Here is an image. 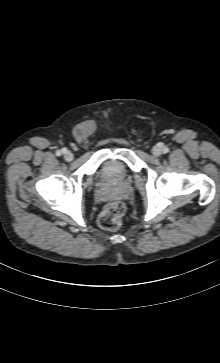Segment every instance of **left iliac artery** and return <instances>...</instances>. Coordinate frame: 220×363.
Segmentation results:
<instances>
[{
	"instance_id": "1",
	"label": "left iliac artery",
	"mask_w": 220,
	"mask_h": 363,
	"mask_svg": "<svg viewBox=\"0 0 220 363\" xmlns=\"http://www.w3.org/2000/svg\"><path fill=\"white\" fill-rule=\"evenodd\" d=\"M163 152H164V153H167V152H168V148H164V149H163Z\"/></svg>"
}]
</instances>
